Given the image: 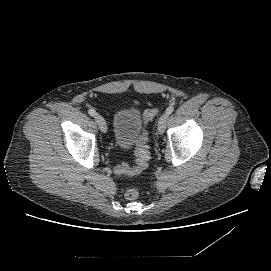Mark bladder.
I'll list each match as a JSON object with an SVG mask.
<instances>
[{
  "mask_svg": "<svg viewBox=\"0 0 271 271\" xmlns=\"http://www.w3.org/2000/svg\"><path fill=\"white\" fill-rule=\"evenodd\" d=\"M142 119L138 108L125 107L116 110L113 116V141L120 149H128L139 135Z\"/></svg>",
  "mask_w": 271,
  "mask_h": 271,
  "instance_id": "1",
  "label": "bladder"
}]
</instances>
